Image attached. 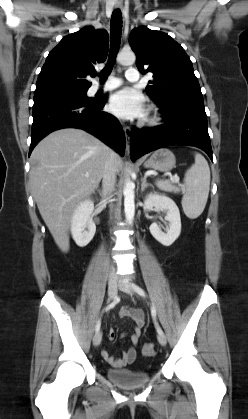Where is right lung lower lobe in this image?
Listing matches in <instances>:
<instances>
[{
  "label": "right lung lower lobe",
  "instance_id": "1",
  "mask_svg": "<svg viewBox=\"0 0 248 419\" xmlns=\"http://www.w3.org/2000/svg\"><path fill=\"white\" fill-rule=\"evenodd\" d=\"M105 103V96L94 100L65 96L34 99L29 154L37 143L50 132L73 127L93 134L124 155L125 135L123 129L113 115L101 111Z\"/></svg>",
  "mask_w": 248,
  "mask_h": 419
}]
</instances>
